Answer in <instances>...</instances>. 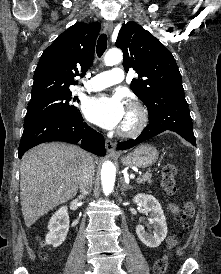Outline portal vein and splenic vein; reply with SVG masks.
<instances>
[{
  "mask_svg": "<svg viewBox=\"0 0 221 274\" xmlns=\"http://www.w3.org/2000/svg\"><path fill=\"white\" fill-rule=\"evenodd\" d=\"M130 178H131V179H134V178H135V175L131 174V175H130Z\"/></svg>",
  "mask_w": 221,
  "mask_h": 274,
  "instance_id": "18ae733b",
  "label": "portal vein and splenic vein"
}]
</instances>
